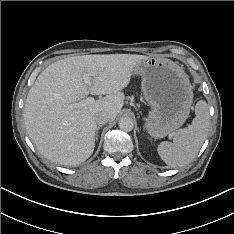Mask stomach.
Masks as SVG:
<instances>
[{
  "instance_id": "1",
  "label": "stomach",
  "mask_w": 234,
  "mask_h": 234,
  "mask_svg": "<svg viewBox=\"0 0 234 234\" xmlns=\"http://www.w3.org/2000/svg\"><path fill=\"white\" fill-rule=\"evenodd\" d=\"M133 75L142 76V90L151 107L145 127L163 138L181 127L189 117L193 90L183 68L166 58L148 57L137 63Z\"/></svg>"
}]
</instances>
